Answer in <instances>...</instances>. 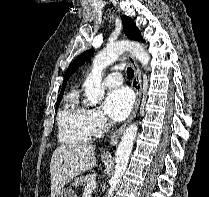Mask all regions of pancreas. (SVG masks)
Returning <instances> with one entry per match:
<instances>
[{
    "mask_svg": "<svg viewBox=\"0 0 209 197\" xmlns=\"http://www.w3.org/2000/svg\"><path fill=\"white\" fill-rule=\"evenodd\" d=\"M93 179L94 178H93L92 175L87 174V175L79 176V177L75 178L72 184L76 187L77 186H82V185L88 183L89 181H91Z\"/></svg>",
    "mask_w": 209,
    "mask_h": 197,
    "instance_id": "obj_1",
    "label": "pancreas"
}]
</instances>
